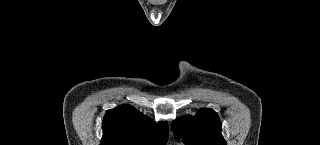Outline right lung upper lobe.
<instances>
[{
	"label": "right lung upper lobe",
	"instance_id": "1",
	"mask_svg": "<svg viewBox=\"0 0 320 145\" xmlns=\"http://www.w3.org/2000/svg\"><path fill=\"white\" fill-rule=\"evenodd\" d=\"M101 145H164L167 124L152 121L130 106L108 110L103 120Z\"/></svg>",
	"mask_w": 320,
	"mask_h": 145
}]
</instances>
